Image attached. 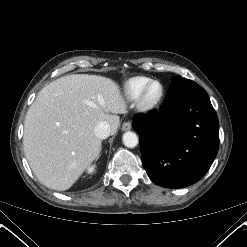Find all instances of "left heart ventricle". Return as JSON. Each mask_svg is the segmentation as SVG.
<instances>
[{"instance_id": "left-heart-ventricle-1", "label": "left heart ventricle", "mask_w": 247, "mask_h": 247, "mask_svg": "<svg viewBox=\"0 0 247 247\" xmlns=\"http://www.w3.org/2000/svg\"><path fill=\"white\" fill-rule=\"evenodd\" d=\"M158 93H159V86L153 85L148 92V98L153 99L158 95Z\"/></svg>"}]
</instances>
